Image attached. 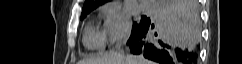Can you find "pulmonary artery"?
Segmentation results:
<instances>
[{
  "label": "pulmonary artery",
  "mask_w": 242,
  "mask_h": 64,
  "mask_svg": "<svg viewBox=\"0 0 242 64\" xmlns=\"http://www.w3.org/2000/svg\"><path fill=\"white\" fill-rule=\"evenodd\" d=\"M142 10H144V11H147L148 10V6L147 5H142Z\"/></svg>",
  "instance_id": "pulmonary-artery-1"
}]
</instances>
